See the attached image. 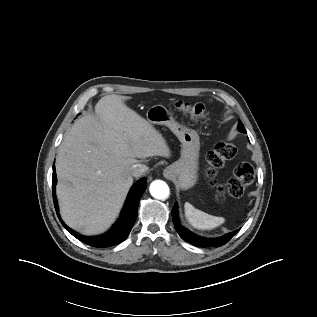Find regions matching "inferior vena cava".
<instances>
[{
    "instance_id": "1",
    "label": "inferior vena cava",
    "mask_w": 317,
    "mask_h": 317,
    "mask_svg": "<svg viewBox=\"0 0 317 317\" xmlns=\"http://www.w3.org/2000/svg\"><path fill=\"white\" fill-rule=\"evenodd\" d=\"M149 168L144 164H135L130 169V174L134 177L143 175Z\"/></svg>"
}]
</instances>
